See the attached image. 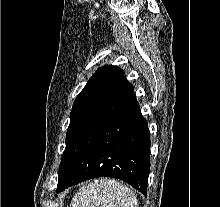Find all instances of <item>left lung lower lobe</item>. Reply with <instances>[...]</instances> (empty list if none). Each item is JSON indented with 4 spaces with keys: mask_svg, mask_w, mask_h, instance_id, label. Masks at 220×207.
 <instances>
[{
    "mask_svg": "<svg viewBox=\"0 0 220 207\" xmlns=\"http://www.w3.org/2000/svg\"><path fill=\"white\" fill-rule=\"evenodd\" d=\"M148 124L133 86L122 76L76 129L62 156L56 192L87 179H122L147 194Z\"/></svg>",
    "mask_w": 220,
    "mask_h": 207,
    "instance_id": "0a47b994",
    "label": "left lung lower lobe"
}]
</instances>
